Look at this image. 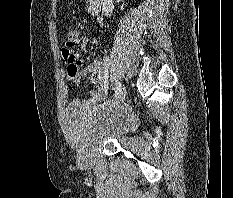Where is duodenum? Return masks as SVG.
I'll list each match as a JSON object with an SVG mask.
<instances>
[{
  "instance_id": "obj_1",
  "label": "duodenum",
  "mask_w": 233,
  "mask_h": 198,
  "mask_svg": "<svg viewBox=\"0 0 233 198\" xmlns=\"http://www.w3.org/2000/svg\"><path fill=\"white\" fill-rule=\"evenodd\" d=\"M102 10L101 0H89L88 13L92 16H100Z\"/></svg>"
}]
</instances>
